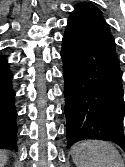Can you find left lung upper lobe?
Returning a JSON list of instances; mask_svg holds the SVG:
<instances>
[{
    "mask_svg": "<svg viewBox=\"0 0 125 167\" xmlns=\"http://www.w3.org/2000/svg\"><path fill=\"white\" fill-rule=\"evenodd\" d=\"M101 11L88 3H79L76 5L75 10L71 13L70 18H78V19H83V18H92V17H100L101 16Z\"/></svg>",
    "mask_w": 125,
    "mask_h": 167,
    "instance_id": "obj_1",
    "label": "left lung upper lobe"
}]
</instances>
